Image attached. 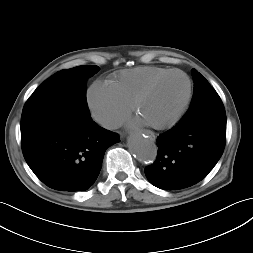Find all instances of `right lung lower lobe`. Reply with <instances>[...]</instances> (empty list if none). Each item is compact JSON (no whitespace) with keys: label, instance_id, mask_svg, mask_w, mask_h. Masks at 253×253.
<instances>
[{"label":"right lung lower lobe","instance_id":"1","mask_svg":"<svg viewBox=\"0 0 253 253\" xmlns=\"http://www.w3.org/2000/svg\"><path fill=\"white\" fill-rule=\"evenodd\" d=\"M119 136L98 126L90 114L65 110L21 126L24 158L35 175L59 191H85L93 185L108 147Z\"/></svg>","mask_w":253,"mask_h":253}]
</instances>
